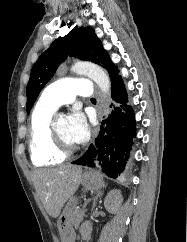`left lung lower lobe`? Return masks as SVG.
Returning <instances> with one entry per match:
<instances>
[{
  "instance_id": "1",
  "label": "left lung lower lobe",
  "mask_w": 187,
  "mask_h": 242,
  "mask_svg": "<svg viewBox=\"0 0 187 242\" xmlns=\"http://www.w3.org/2000/svg\"><path fill=\"white\" fill-rule=\"evenodd\" d=\"M113 100L120 104L114 107L102 126L94 144L85 154L72 164L95 167L111 178H117L123 172L136 136L135 116L131 106L127 105L128 97L122 78L112 81Z\"/></svg>"
}]
</instances>
